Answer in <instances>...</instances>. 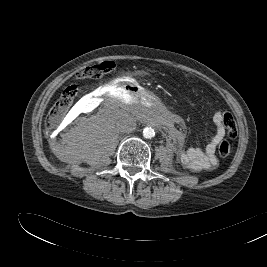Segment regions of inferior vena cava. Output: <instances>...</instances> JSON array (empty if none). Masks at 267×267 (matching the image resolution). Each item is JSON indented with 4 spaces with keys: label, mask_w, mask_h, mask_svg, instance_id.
<instances>
[{
    "label": "inferior vena cava",
    "mask_w": 267,
    "mask_h": 267,
    "mask_svg": "<svg viewBox=\"0 0 267 267\" xmlns=\"http://www.w3.org/2000/svg\"><path fill=\"white\" fill-rule=\"evenodd\" d=\"M116 127L118 131L131 133L135 130L136 123L130 117H122L117 121Z\"/></svg>",
    "instance_id": "inferior-vena-cava-1"
}]
</instances>
